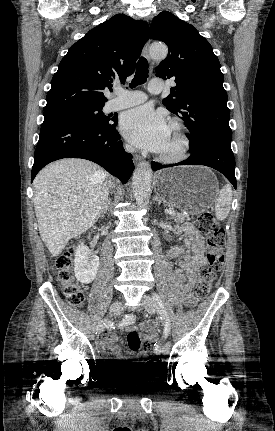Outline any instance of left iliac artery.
<instances>
[{
	"instance_id": "1",
	"label": "left iliac artery",
	"mask_w": 275,
	"mask_h": 431,
	"mask_svg": "<svg viewBox=\"0 0 275 431\" xmlns=\"http://www.w3.org/2000/svg\"><path fill=\"white\" fill-rule=\"evenodd\" d=\"M152 297H153L156 309H157V311H158V313L160 315V318L165 323V331H164V334H163V338L165 339V338H167V336H168V334L170 332V329H171V324H170V320H169V317H168V313H167V311L165 309V306L163 304V301L161 300V298L159 297V295L158 294H153ZM154 352L157 353V354H159V353L162 352L161 343H158V344L155 345Z\"/></svg>"
}]
</instances>
